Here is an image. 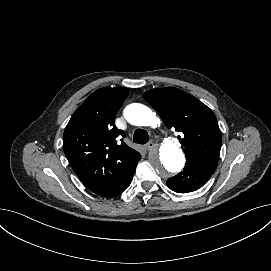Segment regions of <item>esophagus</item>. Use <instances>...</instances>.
<instances>
[{
	"label": "esophagus",
	"mask_w": 271,
	"mask_h": 271,
	"mask_svg": "<svg viewBox=\"0 0 271 271\" xmlns=\"http://www.w3.org/2000/svg\"><path fill=\"white\" fill-rule=\"evenodd\" d=\"M155 147H156V144L153 143V142H149V143H147V144L144 145V148H145L146 150H148V151L154 149Z\"/></svg>",
	"instance_id": "obj_1"
}]
</instances>
